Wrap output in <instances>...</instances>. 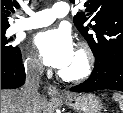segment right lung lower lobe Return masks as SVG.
Wrapping results in <instances>:
<instances>
[{
    "mask_svg": "<svg viewBox=\"0 0 123 113\" xmlns=\"http://www.w3.org/2000/svg\"><path fill=\"white\" fill-rule=\"evenodd\" d=\"M25 82L22 56L15 60L1 58V89L18 88Z\"/></svg>",
    "mask_w": 123,
    "mask_h": 113,
    "instance_id": "right-lung-lower-lobe-1",
    "label": "right lung lower lobe"
}]
</instances>
